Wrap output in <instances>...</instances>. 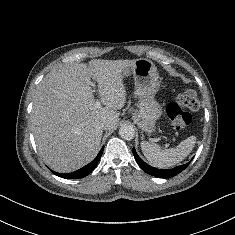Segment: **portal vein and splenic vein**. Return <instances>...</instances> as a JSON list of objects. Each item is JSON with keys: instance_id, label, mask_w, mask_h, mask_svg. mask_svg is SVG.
Returning a JSON list of instances; mask_svg holds the SVG:
<instances>
[{"instance_id": "obj_1", "label": "portal vein and splenic vein", "mask_w": 235, "mask_h": 235, "mask_svg": "<svg viewBox=\"0 0 235 235\" xmlns=\"http://www.w3.org/2000/svg\"><path fill=\"white\" fill-rule=\"evenodd\" d=\"M95 108H101V103L99 100H97L94 104Z\"/></svg>"}]
</instances>
